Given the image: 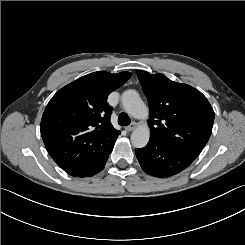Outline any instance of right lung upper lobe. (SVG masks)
<instances>
[{
    "instance_id": "cb5924a9",
    "label": "right lung upper lobe",
    "mask_w": 245,
    "mask_h": 245,
    "mask_svg": "<svg viewBox=\"0 0 245 245\" xmlns=\"http://www.w3.org/2000/svg\"><path fill=\"white\" fill-rule=\"evenodd\" d=\"M129 72L98 71L60 89L41 120V135L53 160L74 175L109 153L120 134L110 123L108 95L122 86Z\"/></svg>"
}]
</instances>
